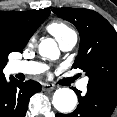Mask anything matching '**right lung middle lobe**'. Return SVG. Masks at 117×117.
<instances>
[{
	"instance_id": "1",
	"label": "right lung middle lobe",
	"mask_w": 117,
	"mask_h": 117,
	"mask_svg": "<svg viewBox=\"0 0 117 117\" xmlns=\"http://www.w3.org/2000/svg\"><path fill=\"white\" fill-rule=\"evenodd\" d=\"M8 46V39L5 34L0 33V47L7 48Z\"/></svg>"
}]
</instances>
